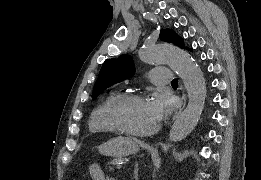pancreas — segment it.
Returning <instances> with one entry per match:
<instances>
[{"mask_svg": "<svg viewBox=\"0 0 261 180\" xmlns=\"http://www.w3.org/2000/svg\"><path fill=\"white\" fill-rule=\"evenodd\" d=\"M103 167H106L107 170H114L115 166L113 165V160L112 159H105L104 162L102 163Z\"/></svg>", "mask_w": 261, "mask_h": 180, "instance_id": "obj_1", "label": "pancreas"}]
</instances>
